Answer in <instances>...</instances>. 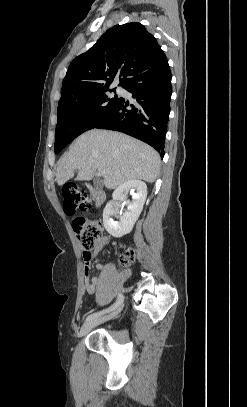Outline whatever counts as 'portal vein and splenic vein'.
Segmentation results:
<instances>
[{"label":"portal vein and splenic vein","instance_id":"1","mask_svg":"<svg viewBox=\"0 0 247 407\" xmlns=\"http://www.w3.org/2000/svg\"><path fill=\"white\" fill-rule=\"evenodd\" d=\"M98 174L102 175L103 174V170L102 169H98Z\"/></svg>","mask_w":247,"mask_h":407}]
</instances>
